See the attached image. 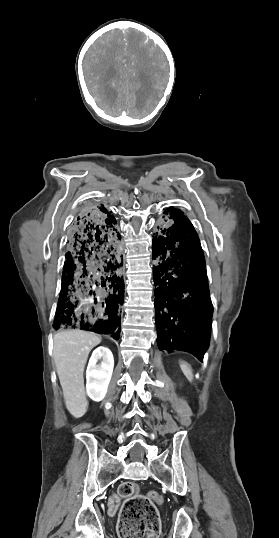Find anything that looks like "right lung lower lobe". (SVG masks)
<instances>
[{
  "label": "right lung lower lobe",
  "instance_id": "1",
  "mask_svg": "<svg viewBox=\"0 0 279 538\" xmlns=\"http://www.w3.org/2000/svg\"><path fill=\"white\" fill-rule=\"evenodd\" d=\"M104 205L83 207L68 239L53 327L120 336L124 300L121 235Z\"/></svg>",
  "mask_w": 279,
  "mask_h": 538
}]
</instances>
